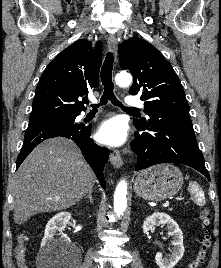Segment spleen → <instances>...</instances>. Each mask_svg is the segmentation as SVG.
Masks as SVG:
<instances>
[{"instance_id": "3e777b00", "label": "spleen", "mask_w": 221, "mask_h": 268, "mask_svg": "<svg viewBox=\"0 0 221 268\" xmlns=\"http://www.w3.org/2000/svg\"><path fill=\"white\" fill-rule=\"evenodd\" d=\"M189 191L193 194L195 203L199 206H203L206 203L205 195L202 188L195 181H191L188 187Z\"/></svg>"}]
</instances>
